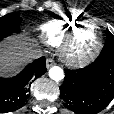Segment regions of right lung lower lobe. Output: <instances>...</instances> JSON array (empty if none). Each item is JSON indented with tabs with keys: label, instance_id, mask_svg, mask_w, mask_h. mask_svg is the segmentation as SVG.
<instances>
[{
	"label": "right lung lower lobe",
	"instance_id": "98d812e1",
	"mask_svg": "<svg viewBox=\"0 0 114 114\" xmlns=\"http://www.w3.org/2000/svg\"><path fill=\"white\" fill-rule=\"evenodd\" d=\"M2 38H0V41ZM46 59L41 57L13 78H0V113L12 112L23 107L30 94L31 82L46 72Z\"/></svg>",
	"mask_w": 114,
	"mask_h": 114
}]
</instances>
